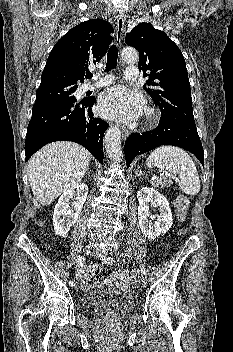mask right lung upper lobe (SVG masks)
Instances as JSON below:
<instances>
[{
    "instance_id": "obj_1",
    "label": "right lung upper lobe",
    "mask_w": 233,
    "mask_h": 352,
    "mask_svg": "<svg viewBox=\"0 0 233 352\" xmlns=\"http://www.w3.org/2000/svg\"><path fill=\"white\" fill-rule=\"evenodd\" d=\"M111 33L113 27L101 19L85 21L68 31L50 52L40 87L82 83L88 65L106 54L112 42Z\"/></svg>"
}]
</instances>
